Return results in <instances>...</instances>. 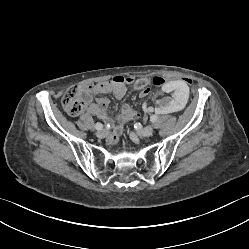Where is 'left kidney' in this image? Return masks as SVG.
<instances>
[{
	"label": "left kidney",
	"mask_w": 249,
	"mask_h": 249,
	"mask_svg": "<svg viewBox=\"0 0 249 249\" xmlns=\"http://www.w3.org/2000/svg\"><path fill=\"white\" fill-rule=\"evenodd\" d=\"M163 92L168 94L160 97L157 103L153 105V112L164 117H171L173 112L180 113L188 105V98L190 97L189 86L183 80H170L163 85Z\"/></svg>",
	"instance_id": "5707ae66"
}]
</instances>
